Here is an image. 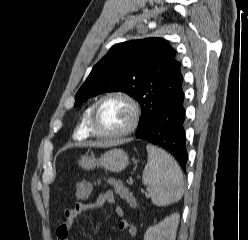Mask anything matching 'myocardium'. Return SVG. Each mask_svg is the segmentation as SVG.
I'll return each mask as SVG.
<instances>
[{"label":"myocardium","mask_w":248,"mask_h":240,"mask_svg":"<svg viewBox=\"0 0 248 240\" xmlns=\"http://www.w3.org/2000/svg\"><path fill=\"white\" fill-rule=\"evenodd\" d=\"M109 99H118V100L125 102L130 109L131 119L128 125L120 131H117L114 133H102L96 127V115H97L99 106L104 101L109 100ZM140 118H141V108H140L139 103L133 96H131L130 94L126 92H122V91L108 92L102 95L94 103L92 107L91 114H90V120H89L90 131L92 135L96 137H100V138H105V139H113V138L122 137V136L132 133L137 128Z\"/></svg>","instance_id":"obj_1"}]
</instances>
